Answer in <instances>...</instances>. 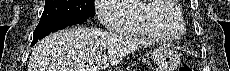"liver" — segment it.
<instances>
[{"instance_id": "6515ba94", "label": "liver", "mask_w": 230, "mask_h": 71, "mask_svg": "<svg viewBox=\"0 0 230 71\" xmlns=\"http://www.w3.org/2000/svg\"><path fill=\"white\" fill-rule=\"evenodd\" d=\"M149 44L143 39L73 27L38 42L31 54L28 71H78L81 67L93 66L98 71L105 70Z\"/></svg>"}]
</instances>
